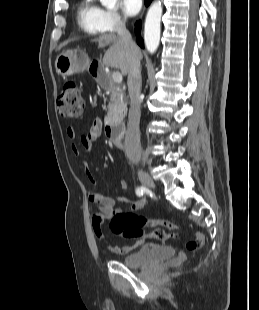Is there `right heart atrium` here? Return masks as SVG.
Segmentation results:
<instances>
[{
    "label": "right heart atrium",
    "instance_id": "1",
    "mask_svg": "<svg viewBox=\"0 0 259 310\" xmlns=\"http://www.w3.org/2000/svg\"><path fill=\"white\" fill-rule=\"evenodd\" d=\"M101 25L105 31H116L123 23V17L114 10H101Z\"/></svg>",
    "mask_w": 259,
    "mask_h": 310
}]
</instances>
